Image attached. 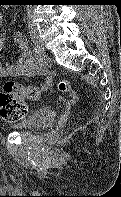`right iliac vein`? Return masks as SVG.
I'll return each instance as SVG.
<instances>
[{
  "label": "right iliac vein",
  "instance_id": "63e3f726",
  "mask_svg": "<svg viewBox=\"0 0 121 197\" xmlns=\"http://www.w3.org/2000/svg\"><path fill=\"white\" fill-rule=\"evenodd\" d=\"M30 35H31L32 39L35 41V43L37 44V47L39 48V50L42 53H45L44 44L42 43L41 39L39 38L38 33L35 28H33V27L30 28Z\"/></svg>",
  "mask_w": 121,
  "mask_h": 197
}]
</instances>
